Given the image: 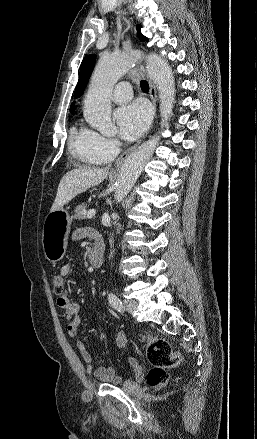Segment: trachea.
I'll return each mask as SVG.
<instances>
[{
	"label": "trachea",
	"instance_id": "1",
	"mask_svg": "<svg viewBox=\"0 0 257 439\" xmlns=\"http://www.w3.org/2000/svg\"><path fill=\"white\" fill-rule=\"evenodd\" d=\"M140 87H141V90H142L143 92H148V91H149V84H148V82L145 81V80H141V81H140Z\"/></svg>",
	"mask_w": 257,
	"mask_h": 439
}]
</instances>
